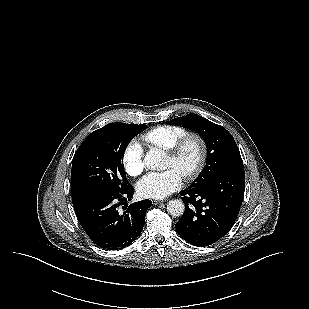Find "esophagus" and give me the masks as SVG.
I'll use <instances>...</instances> for the list:
<instances>
[{"instance_id": "34e87169", "label": "esophagus", "mask_w": 309, "mask_h": 309, "mask_svg": "<svg viewBox=\"0 0 309 309\" xmlns=\"http://www.w3.org/2000/svg\"><path fill=\"white\" fill-rule=\"evenodd\" d=\"M163 201H160V200H152V203L154 204V205H158V204H161Z\"/></svg>"}]
</instances>
